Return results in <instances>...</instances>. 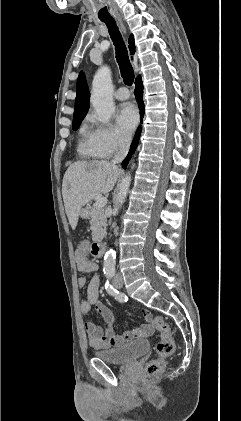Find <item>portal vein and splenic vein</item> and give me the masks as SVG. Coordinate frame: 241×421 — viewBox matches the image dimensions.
I'll return each mask as SVG.
<instances>
[{"label":"portal vein and splenic vein","mask_w":241,"mask_h":421,"mask_svg":"<svg viewBox=\"0 0 241 421\" xmlns=\"http://www.w3.org/2000/svg\"><path fill=\"white\" fill-rule=\"evenodd\" d=\"M106 204H107V198L106 197L99 198L95 203V205L97 207H100V208L104 207Z\"/></svg>","instance_id":"portal-vein-and-splenic-vein-1"}]
</instances>
